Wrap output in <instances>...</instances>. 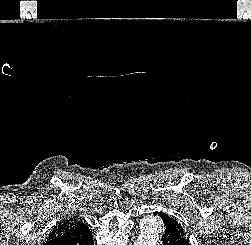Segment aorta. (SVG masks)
Here are the masks:
<instances>
[{
    "label": "aorta",
    "mask_w": 251,
    "mask_h": 245,
    "mask_svg": "<svg viewBox=\"0 0 251 245\" xmlns=\"http://www.w3.org/2000/svg\"><path fill=\"white\" fill-rule=\"evenodd\" d=\"M163 223L154 216H146L140 221V232L133 245H157Z\"/></svg>",
    "instance_id": "aorta-1"
}]
</instances>
